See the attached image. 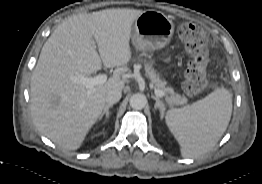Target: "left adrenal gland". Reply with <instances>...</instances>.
I'll list each match as a JSON object with an SVG mask.
<instances>
[{"label":"left adrenal gland","instance_id":"a2214340","mask_svg":"<svg viewBox=\"0 0 262 184\" xmlns=\"http://www.w3.org/2000/svg\"><path fill=\"white\" fill-rule=\"evenodd\" d=\"M152 98L156 101L154 109L155 110L158 109L160 111V115H162L163 111L165 110L164 104L162 103V101L158 97L152 95Z\"/></svg>","mask_w":262,"mask_h":184}]
</instances>
